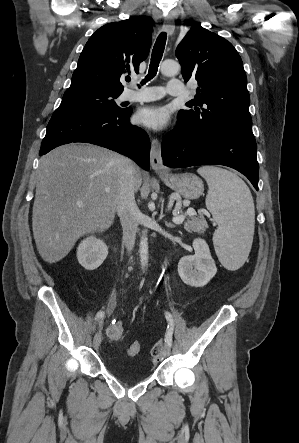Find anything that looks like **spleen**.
I'll list each match as a JSON object with an SVG mask.
<instances>
[{
  "mask_svg": "<svg viewBox=\"0 0 299 443\" xmlns=\"http://www.w3.org/2000/svg\"><path fill=\"white\" fill-rule=\"evenodd\" d=\"M197 172L207 181L206 207L218 224L213 235L216 254L226 269L237 270L245 263L253 240L255 210L251 192L228 170L203 166Z\"/></svg>",
  "mask_w": 299,
  "mask_h": 443,
  "instance_id": "1",
  "label": "spleen"
}]
</instances>
